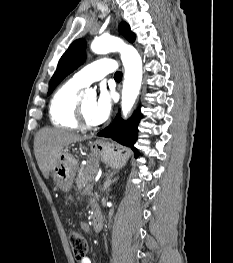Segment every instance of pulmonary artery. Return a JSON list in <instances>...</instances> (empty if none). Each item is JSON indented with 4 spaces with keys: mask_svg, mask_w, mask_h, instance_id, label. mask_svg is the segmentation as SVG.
<instances>
[{
    "mask_svg": "<svg viewBox=\"0 0 233 263\" xmlns=\"http://www.w3.org/2000/svg\"><path fill=\"white\" fill-rule=\"evenodd\" d=\"M116 63L110 58H101L76 72L72 78L78 85L84 87L104 78L107 74L116 72Z\"/></svg>",
    "mask_w": 233,
    "mask_h": 263,
    "instance_id": "1",
    "label": "pulmonary artery"
}]
</instances>
